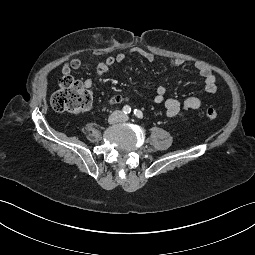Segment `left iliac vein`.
Masks as SVG:
<instances>
[{"instance_id":"1","label":"left iliac vein","mask_w":255,"mask_h":255,"mask_svg":"<svg viewBox=\"0 0 255 255\" xmlns=\"http://www.w3.org/2000/svg\"><path fill=\"white\" fill-rule=\"evenodd\" d=\"M129 119V117L127 115L122 117V121H127Z\"/></svg>"}]
</instances>
